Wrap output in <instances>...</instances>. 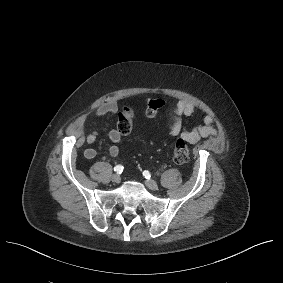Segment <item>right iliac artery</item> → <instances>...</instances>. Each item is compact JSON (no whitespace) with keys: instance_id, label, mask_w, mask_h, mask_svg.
Masks as SVG:
<instances>
[{"instance_id":"1","label":"right iliac artery","mask_w":283,"mask_h":283,"mask_svg":"<svg viewBox=\"0 0 283 283\" xmlns=\"http://www.w3.org/2000/svg\"><path fill=\"white\" fill-rule=\"evenodd\" d=\"M124 167L122 165H117L114 167V171H116L117 173L121 174L123 171Z\"/></svg>"}]
</instances>
